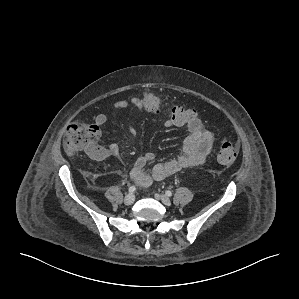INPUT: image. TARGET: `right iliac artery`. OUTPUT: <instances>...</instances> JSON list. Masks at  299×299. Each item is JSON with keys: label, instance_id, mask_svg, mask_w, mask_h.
Returning a JSON list of instances; mask_svg holds the SVG:
<instances>
[{"label": "right iliac artery", "instance_id": "82829eb1", "mask_svg": "<svg viewBox=\"0 0 299 299\" xmlns=\"http://www.w3.org/2000/svg\"><path fill=\"white\" fill-rule=\"evenodd\" d=\"M128 190H129L130 193H133V192L136 191V187L135 186H131V187H129Z\"/></svg>", "mask_w": 299, "mask_h": 299}]
</instances>
